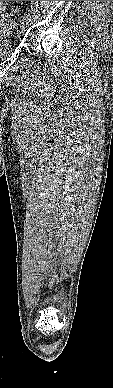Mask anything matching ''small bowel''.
Masks as SVG:
<instances>
[{"label":"small bowel","instance_id":"1","mask_svg":"<svg viewBox=\"0 0 113 388\" xmlns=\"http://www.w3.org/2000/svg\"><path fill=\"white\" fill-rule=\"evenodd\" d=\"M2 1H0V20H6L7 15L5 13V8H4V2L1 4Z\"/></svg>","mask_w":113,"mask_h":388}]
</instances>
